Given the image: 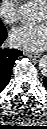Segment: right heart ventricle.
Here are the masks:
<instances>
[{"instance_id": "obj_1", "label": "right heart ventricle", "mask_w": 47, "mask_h": 129, "mask_svg": "<svg viewBox=\"0 0 47 129\" xmlns=\"http://www.w3.org/2000/svg\"><path fill=\"white\" fill-rule=\"evenodd\" d=\"M32 1H39V2H44L45 0H32Z\"/></svg>"}]
</instances>
